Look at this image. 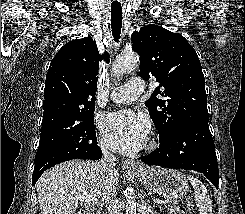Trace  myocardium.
Instances as JSON below:
<instances>
[{
  "mask_svg": "<svg viewBox=\"0 0 245 214\" xmlns=\"http://www.w3.org/2000/svg\"><path fill=\"white\" fill-rule=\"evenodd\" d=\"M153 145H154V143H153V142H151V143H150V146H153Z\"/></svg>",
  "mask_w": 245,
  "mask_h": 214,
  "instance_id": "myocardium-1",
  "label": "myocardium"
}]
</instances>
